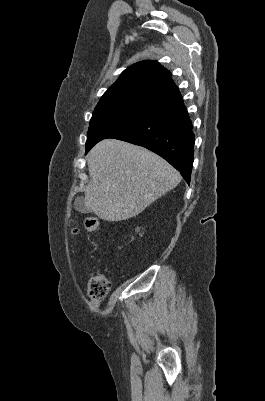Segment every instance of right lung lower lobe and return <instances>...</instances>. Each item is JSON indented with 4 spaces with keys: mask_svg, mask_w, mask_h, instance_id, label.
Masks as SVG:
<instances>
[{
    "mask_svg": "<svg viewBox=\"0 0 265 401\" xmlns=\"http://www.w3.org/2000/svg\"><path fill=\"white\" fill-rule=\"evenodd\" d=\"M108 138L130 142L155 152L190 183L195 138L192 121L182 99L116 130Z\"/></svg>",
    "mask_w": 265,
    "mask_h": 401,
    "instance_id": "obj_1",
    "label": "right lung lower lobe"
}]
</instances>
